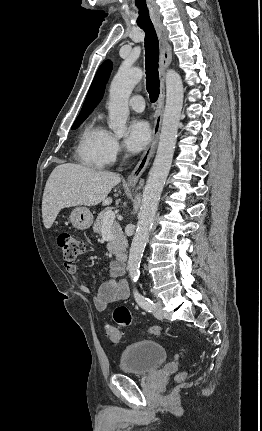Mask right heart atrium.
<instances>
[{"mask_svg":"<svg viewBox=\"0 0 262 431\" xmlns=\"http://www.w3.org/2000/svg\"><path fill=\"white\" fill-rule=\"evenodd\" d=\"M121 153V145L116 137L110 132H107V136L104 142V155L106 163L114 162Z\"/></svg>","mask_w":262,"mask_h":431,"instance_id":"1","label":"right heart atrium"}]
</instances>
